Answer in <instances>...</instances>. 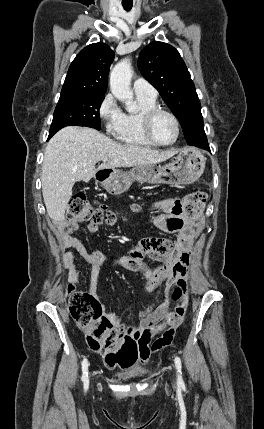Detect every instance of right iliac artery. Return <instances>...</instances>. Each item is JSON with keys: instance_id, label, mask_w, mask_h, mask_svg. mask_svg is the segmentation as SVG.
Returning a JSON list of instances; mask_svg holds the SVG:
<instances>
[{"instance_id": "1", "label": "right iliac artery", "mask_w": 264, "mask_h": 429, "mask_svg": "<svg viewBox=\"0 0 264 429\" xmlns=\"http://www.w3.org/2000/svg\"><path fill=\"white\" fill-rule=\"evenodd\" d=\"M81 380L84 383V388L87 389L88 385H89V380H88V360L86 358H84V360L82 361V377Z\"/></svg>"}]
</instances>
